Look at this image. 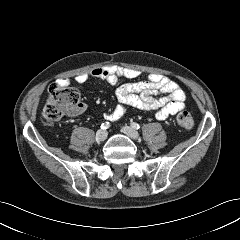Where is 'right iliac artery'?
I'll return each instance as SVG.
<instances>
[{"mask_svg":"<svg viewBox=\"0 0 240 240\" xmlns=\"http://www.w3.org/2000/svg\"><path fill=\"white\" fill-rule=\"evenodd\" d=\"M110 127V123L109 122H105L101 125V129L105 130L108 129Z\"/></svg>","mask_w":240,"mask_h":240,"instance_id":"1","label":"right iliac artery"}]
</instances>
